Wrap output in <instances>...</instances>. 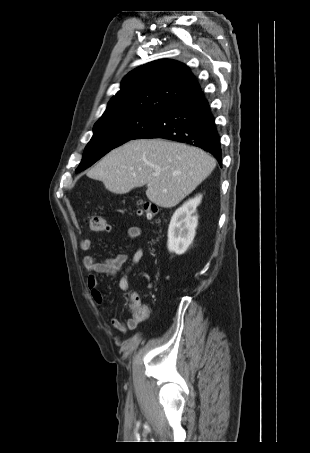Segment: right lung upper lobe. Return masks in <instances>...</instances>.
<instances>
[{"instance_id":"right-lung-upper-lobe-1","label":"right lung upper lobe","mask_w":310,"mask_h":453,"mask_svg":"<svg viewBox=\"0 0 310 453\" xmlns=\"http://www.w3.org/2000/svg\"><path fill=\"white\" fill-rule=\"evenodd\" d=\"M199 87L185 64L169 59L153 61L125 76L120 91L109 101L102 117L122 113L161 114Z\"/></svg>"}]
</instances>
